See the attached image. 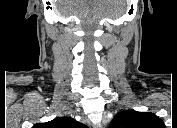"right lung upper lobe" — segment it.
<instances>
[{"instance_id":"obj_1","label":"right lung upper lobe","mask_w":177,"mask_h":128,"mask_svg":"<svg viewBox=\"0 0 177 128\" xmlns=\"http://www.w3.org/2000/svg\"><path fill=\"white\" fill-rule=\"evenodd\" d=\"M38 128H84L85 125L70 117H58L43 124H37Z\"/></svg>"}]
</instances>
